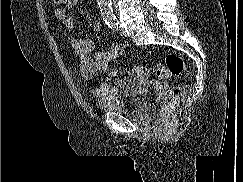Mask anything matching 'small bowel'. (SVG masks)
Segmentation results:
<instances>
[{
    "mask_svg": "<svg viewBox=\"0 0 243 182\" xmlns=\"http://www.w3.org/2000/svg\"><path fill=\"white\" fill-rule=\"evenodd\" d=\"M77 2L78 0H68L65 8H58L54 11V16L67 29V39L74 55L79 60V69L82 77L87 82H91L97 74L106 73L102 83L93 91L96 97L113 96L122 89L124 91L134 90L136 88L134 82L127 80L115 81L117 72L110 69L111 62L123 52L120 44L110 43L106 50L93 54L94 43L89 37H75L71 34L73 17L67 12V9L75 6ZM92 29L95 32L101 31V23L95 21Z\"/></svg>",
    "mask_w": 243,
    "mask_h": 182,
    "instance_id": "obj_1",
    "label": "small bowel"
}]
</instances>
